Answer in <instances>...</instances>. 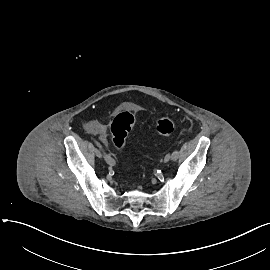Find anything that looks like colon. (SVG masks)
<instances>
[{"mask_svg":"<svg viewBox=\"0 0 270 270\" xmlns=\"http://www.w3.org/2000/svg\"><path fill=\"white\" fill-rule=\"evenodd\" d=\"M135 119L129 112H121L112 120L110 126L111 140L117 150H123L126 146V139ZM176 129V122L169 114L161 116L156 121V130L162 135H169Z\"/></svg>","mask_w":270,"mask_h":270,"instance_id":"5ec220e1","label":"colon"}]
</instances>
